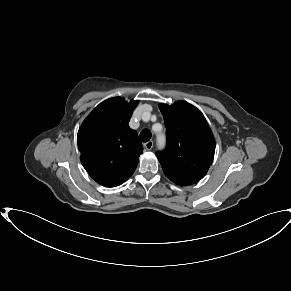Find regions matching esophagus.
<instances>
[{
  "label": "esophagus",
  "mask_w": 291,
  "mask_h": 291,
  "mask_svg": "<svg viewBox=\"0 0 291 291\" xmlns=\"http://www.w3.org/2000/svg\"><path fill=\"white\" fill-rule=\"evenodd\" d=\"M144 147L147 150H151L153 148V141H148V142L144 143Z\"/></svg>",
  "instance_id": "34e87169"
}]
</instances>
